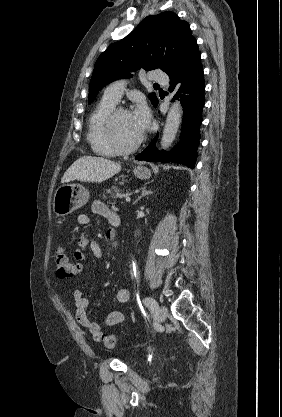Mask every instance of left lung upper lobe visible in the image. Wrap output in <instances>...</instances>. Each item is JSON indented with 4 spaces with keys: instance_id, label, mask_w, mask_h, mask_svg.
<instances>
[{
    "instance_id": "1",
    "label": "left lung upper lobe",
    "mask_w": 282,
    "mask_h": 417,
    "mask_svg": "<svg viewBox=\"0 0 282 417\" xmlns=\"http://www.w3.org/2000/svg\"><path fill=\"white\" fill-rule=\"evenodd\" d=\"M188 22L174 12L146 17L124 39L111 44L97 59L89 85V104L108 83L129 78L140 68L167 72L177 55L194 40ZM158 103L154 93L149 95Z\"/></svg>"
}]
</instances>
